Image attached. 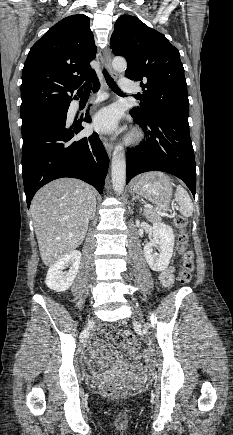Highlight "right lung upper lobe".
<instances>
[{
	"label": "right lung upper lobe",
	"mask_w": 233,
	"mask_h": 435,
	"mask_svg": "<svg viewBox=\"0 0 233 435\" xmlns=\"http://www.w3.org/2000/svg\"><path fill=\"white\" fill-rule=\"evenodd\" d=\"M89 25L86 15L66 17L32 46L22 70L21 117L69 106L81 84L96 78L90 62L97 48Z\"/></svg>",
	"instance_id": "1"
}]
</instances>
